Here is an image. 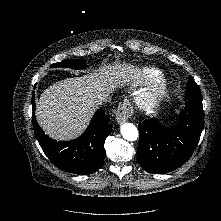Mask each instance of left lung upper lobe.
Segmentation results:
<instances>
[{"instance_id": "5c2ea615", "label": "left lung upper lobe", "mask_w": 221, "mask_h": 221, "mask_svg": "<svg viewBox=\"0 0 221 221\" xmlns=\"http://www.w3.org/2000/svg\"><path fill=\"white\" fill-rule=\"evenodd\" d=\"M186 96L189 101L202 100L200 88L192 77L189 78L187 83Z\"/></svg>"}]
</instances>
